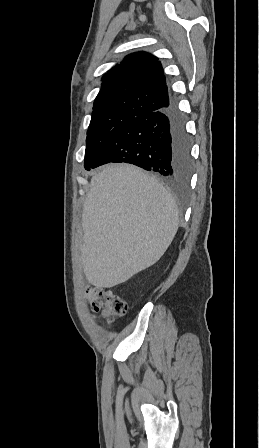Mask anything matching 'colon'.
<instances>
[{
    "label": "colon",
    "mask_w": 259,
    "mask_h": 448,
    "mask_svg": "<svg viewBox=\"0 0 259 448\" xmlns=\"http://www.w3.org/2000/svg\"><path fill=\"white\" fill-rule=\"evenodd\" d=\"M86 293L89 306L108 323L127 312L126 302L110 290L90 288Z\"/></svg>",
    "instance_id": "obj_1"
}]
</instances>
